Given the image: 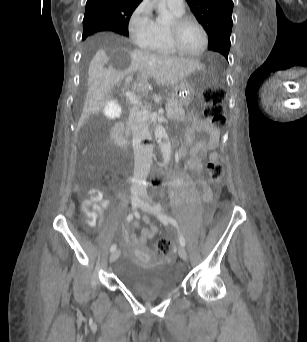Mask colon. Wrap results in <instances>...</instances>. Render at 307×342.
<instances>
[{"label": "colon", "instance_id": "5ec220e1", "mask_svg": "<svg viewBox=\"0 0 307 342\" xmlns=\"http://www.w3.org/2000/svg\"><path fill=\"white\" fill-rule=\"evenodd\" d=\"M227 87H205L204 115L208 121L217 129H223L228 124L227 116L224 112L225 94ZM87 149H85V152ZM208 174L213 183H220L223 178V165L217 160H210L207 165ZM156 249L160 255H168L171 250L170 241L166 238L159 239Z\"/></svg>", "mask_w": 307, "mask_h": 342}]
</instances>
